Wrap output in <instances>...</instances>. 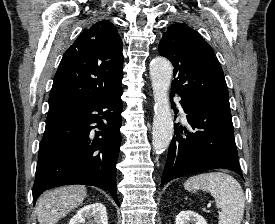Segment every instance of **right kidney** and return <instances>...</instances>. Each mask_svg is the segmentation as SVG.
Instances as JSON below:
<instances>
[{
  "instance_id": "obj_1",
  "label": "right kidney",
  "mask_w": 275,
  "mask_h": 224,
  "mask_svg": "<svg viewBox=\"0 0 275 224\" xmlns=\"http://www.w3.org/2000/svg\"><path fill=\"white\" fill-rule=\"evenodd\" d=\"M108 224L106 207L102 203L84 206L72 217L69 224Z\"/></svg>"
}]
</instances>
